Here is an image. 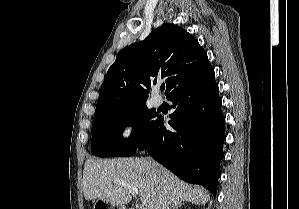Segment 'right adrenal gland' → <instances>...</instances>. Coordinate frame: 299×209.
<instances>
[{
    "label": "right adrenal gland",
    "mask_w": 299,
    "mask_h": 209,
    "mask_svg": "<svg viewBox=\"0 0 299 209\" xmlns=\"http://www.w3.org/2000/svg\"><path fill=\"white\" fill-rule=\"evenodd\" d=\"M170 209H178V206H172Z\"/></svg>",
    "instance_id": "1"
}]
</instances>
